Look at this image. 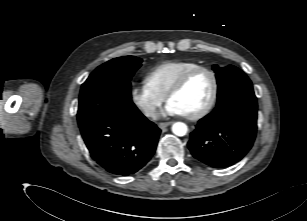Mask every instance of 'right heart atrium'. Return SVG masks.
I'll use <instances>...</instances> for the list:
<instances>
[{"instance_id": "right-heart-atrium-1", "label": "right heart atrium", "mask_w": 307, "mask_h": 221, "mask_svg": "<svg viewBox=\"0 0 307 221\" xmlns=\"http://www.w3.org/2000/svg\"><path fill=\"white\" fill-rule=\"evenodd\" d=\"M130 98L135 107L148 118L155 117L164 98L154 93L146 84H137L130 90Z\"/></svg>"}]
</instances>
